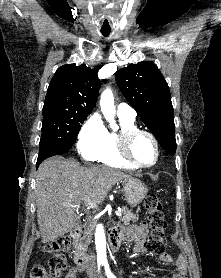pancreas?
Wrapping results in <instances>:
<instances>
[{"label":"pancreas","instance_id":"1","mask_svg":"<svg viewBox=\"0 0 221 278\" xmlns=\"http://www.w3.org/2000/svg\"><path fill=\"white\" fill-rule=\"evenodd\" d=\"M122 216L120 220L123 222L124 225H128L130 222H136L139 218L138 213L134 214L131 210L127 209L126 207H122ZM93 230V223L89 224V227L84 229V236L82 238V242L77 243L78 248H86L88 243H90L91 236Z\"/></svg>","mask_w":221,"mask_h":278}]
</instances>
